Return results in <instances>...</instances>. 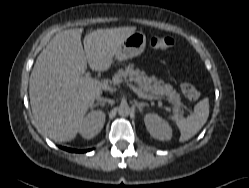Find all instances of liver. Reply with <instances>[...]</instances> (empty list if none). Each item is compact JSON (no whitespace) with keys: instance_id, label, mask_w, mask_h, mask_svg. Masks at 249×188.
I'll return each mask as SVG.
<instances>
[{"instance_id":"1","label":"liver","mask_w":249,"mask_h":188,"mask_svg":"<svg viewBox=\"0 0 249 188\" xmlns=\"http://www.w3.org/2000/svg\"><path fill=\"white\" fill-rule=\"evenodd\" d=\"M82 28L56 34L38 56L29 81L32 113L55 142L75 139L84 115L102 90L84 82L87 63L107 71L123 41L136 27L97 29L81 43Z\"/></svg>"}]
</instances>
